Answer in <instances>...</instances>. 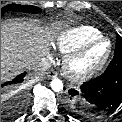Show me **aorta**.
<instances>
[{
  "instance_id": "762f6f07",
  "label": "aorta",
  "mask_w": 122,
  "mask_h": 122,
  "mask_svg": "<svg viewBox=\"0 0 122 122\" xmlns=\"http://www.w3.org/2000/svg\"><path fill=\"white\" fill-rule=\"evenodd\" d=\"M50 86H51L52 90L55 92H60L63 89V83L58 78L52 79Z\"/></svg>"
}]
</instances>
